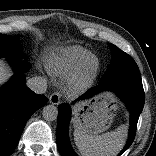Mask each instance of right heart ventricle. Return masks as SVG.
Returning <instances> with one entry per match:
<instances>
[{"label": "right heart ventricle", "instance_id": "right-heart-ventricle-1", "mask_svg": "<svg viewBox=\"0 0 156 156\" xmlns=\"http://www.w3.org/2000/svg\"><path fill=\"white\" fill-rule=\"evenodd\" d=\"M84 62L96 63L98 58L80 46L62 48L47 59V68L53 77L68 79Z\"/></svg>", "mask_w": 156, "mask_h": 156}]
</instances>
